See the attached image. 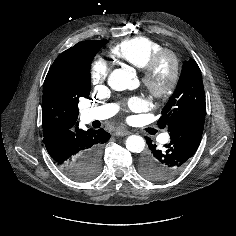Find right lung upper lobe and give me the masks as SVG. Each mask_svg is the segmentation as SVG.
<instances>
[{"label": "right lung upper lobe", "mask_w": 236, "mask_h": 236, "mask_svg": "<svg viewBox=\"0 0 236 236\" xmlns=\"http://www.w3.org/2000/svg\"><path fill=\"white\" fill-rule=\"evenodd\" d=\"M105 40L83 41L61 53L50 67L43 86V135L78 127L79 99L73 92L75 70L84 52Z\"/></svg>", "instance_id": "right-lung-upper-lobe-1"}]
</instances>
